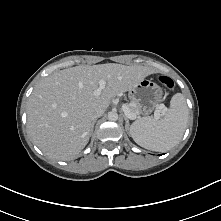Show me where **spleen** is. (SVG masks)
<instances>
[{"mask_svg": "<svg viewBox=\"0 0 221 221\" xmlns=\"http://www.w3.org/2000/svg\"><path fill=\"white\" fill-rule=\"evenodd\" d=\"M188 107L183 94H175L165 116L158 120L142 117L130 127L133 140L145 149L165 152L182 139L188 121Z\"/></svg>", "mask_w": 221, "mask_h": 221, "instance_id": "spleen-1", "label": "spleen"}]
</instances>
